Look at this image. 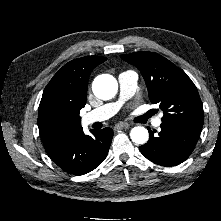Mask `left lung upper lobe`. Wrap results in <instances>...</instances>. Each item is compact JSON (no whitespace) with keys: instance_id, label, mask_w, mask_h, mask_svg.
<instances>
[{"instance_id":"left-lung-upper-lobe-1","label":"left lung upper lobe","mask_w":221,"mask_h":221,"mask_svg":"<svg viewBox=\"0 0 221 221\" xmlns=\"http://www.w3.org/2000/svg\"><path fill=\"white\" fill-rule=\"evenodd\" d=\"M142 73L152 104L164 112L162 122L203 125L204 112L198 91L186 73L161 55L148 51L121 55Z\"/></svg>"}]
</instances>
